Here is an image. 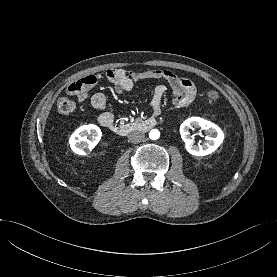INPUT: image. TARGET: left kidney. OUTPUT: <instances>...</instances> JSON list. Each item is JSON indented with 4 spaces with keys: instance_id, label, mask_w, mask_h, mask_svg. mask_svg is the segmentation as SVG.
<instances>
[{
    "instance_id": "5707ae66",
    "label": "left kidney",
    "mask_w": 277,
    "mask_h": 277,
    "mask_svg": "<svg viewBox=\"0 0 277 277\" xmlns=\"http://www.w3.org/2000/svg\"><path fill=\"white\" fill-rule=\"evenodd\" d=\"M204 130L206 141L200 145H195L190 137L189 129L198 128ZM180 134L185 142L186 150L194 156H206L214 152L223 142L224 133L214 123L200 117H191L185 120L180 126Z\"/></svg>"
}]
</instances>
